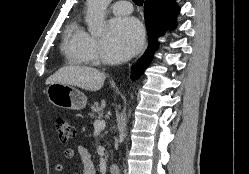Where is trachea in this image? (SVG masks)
<instances>
[{
	"instance_id": "3493384b",
	"label": "trachea",
	"mask_w": 249,
	"mask_h": 174,
	"mask_svg": "<svg viewBox=\"0 0 249 174\" xmlns=\"http://www.w3.org/2000/svg\"><path fill=\"white\" fill-rule=\"evenodd\" d=\"M132 1L138 6L143 5V0H132Z\"/></svg>"
}]
</instances>
